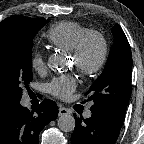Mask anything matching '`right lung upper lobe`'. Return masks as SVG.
Masks as SVG:
<instances>
[{
	"label": "right lung upper lobe",
	"mask_w": 144,
	"mask_h": 144,
	"mask_svg": "<svg viewBox=\"0 0 144 144\" xmlns=\"http://www.w3.org/2000/svg\"><path fill=\"white\" fill-rule=\"evenodd\" d=\"M17 16H11L1 22V25L4 23L17 18ZM15 106V103L12 102V100L8 97V95L4 92L3 89L0 88V119L4 117L7 113H9Z\"/></svg>",
	"instance_id": "obj_1"
}]
</instances>
